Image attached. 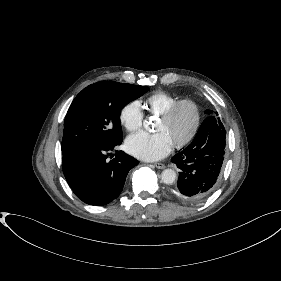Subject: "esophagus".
<instances>
[{
  "instance_id": "esophagus-1",
  "label": "esophagus",
  "mask_w": 281,
  "mask_h": 281,
  "mask_svg": "<svg viewBox=\"0 0 281 281\" xmlns=\"http://www.w3.org/2000/svg\"><path fill=\"white\" fill-rule=\"evenodd\" d=\"M154 166H155L157 169H164V168H165V165L162 164V163H155Z\"/></svg>"
}]
</instances>
